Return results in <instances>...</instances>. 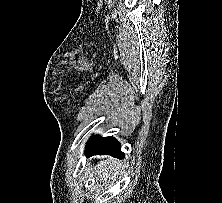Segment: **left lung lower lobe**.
I'll list each match as a JSON object with an SVG mask.
<instances>
[{
	"label": "left lung lower lobe",
	"instance_id": "obj_1",
	"mask_svg": "<svg viewBox=\"0 0 222 203\" xmlns=\"http://www.w3.org/2000/svg\"><path fill=\"white\" fill-rule=\"evenodd\" d=\"M86 155H111L124 158L120 143L112 136L104 138L92 136L86 145Z\"/></svg>",
	"mask_w": 222,
	"mask_h": 203
}]
</instances>
